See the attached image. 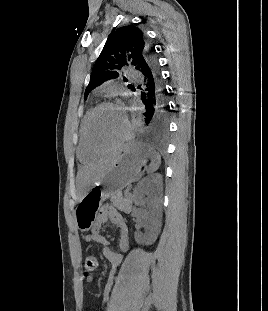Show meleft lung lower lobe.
Listing matches in <instances>:
<instances>
[{
  "mask_svg": "<svg viewBox=\"0 0 268 311\" xmlns=\"http://www.w3.org/2000/svg\"><path fill=\"white\" fill-rule=\"evenodd\" d=\"M141 75V100L145 105L136 141H167L169 106L165 103L166 90L163 89L158 60L149 50L146 60L139 63Z\"/></svg>",
  "mask_w": 268,
  "mask_h": 311,
  "instance_id": "left-lung-lower-lobe-1",
  "label": "left lung lower lobe"
}]
</instances>
